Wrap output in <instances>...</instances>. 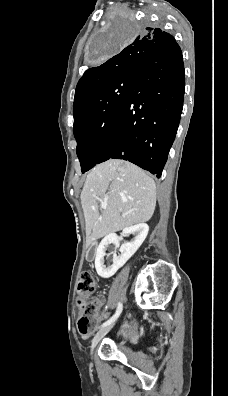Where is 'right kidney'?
<instances>
[{
  "instance_id": "1",
  "label": "right kidney",
  "mask_w": 228,
  "mask_h": 396,
  "mask_svg": "<svg viewBox=\"0 0 228 396\" xmlns=\"http://www.w3.org/2000/svg\"><path fill=\"white\" fill-rule=\"evenodd\" d=\"M149 226L145 223H139L123 230L122 236L133 235L134 238L131 242H124L120 247V254H113V263L110 267L104 265L105 251L108 245L115 244L119 246V242L122 238L116 234L111 233L105 236L100 242L95 258V268L97 274L102 278H109L113 276L119 268H121L139 249L144 240L147 237Z\"/></svg>"
}]
</instances>
